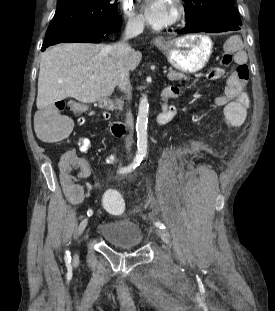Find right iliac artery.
Wrapping results in <instances>:
<instances>
[{
    "label": "right iliac artery",
    "instance_id": "right-iliac-artery-1",
    "mask_svg": "<svg viewBox=\"0 0 275 311\" xmlns=\"http://www.w3.org/2000/svg\"><path fill=\"white\" fill-rule=\"evenodd\" d=\"M142 159H143V154H141V153L136 154V156H135L133 162H132L129 166L120 168V169L118 170V172H119L120 174H125V173L132 172L137 166L140 165ZM92 214H93V211H92L91 209H89V210L87 211V215H88V216H91ZM65 260L68 261V262H70V260H71V256H70L69 250L66 251Z\"/></svg>",
    "mask_w": 275,
    "mask_h": 311
}]
</instances>
